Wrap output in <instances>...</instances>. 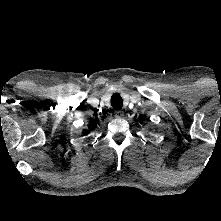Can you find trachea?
I'll list each match as a JSON object with an SVG mask.
<instances>
[{"label":"trachea","instance_id":"trachea-1","mask_svg":"<svg viewBox=\"0 0 221 221\" xmlns=\"http://www.w3.org/2000/svg\"><path fill=\"white\" fill-rule=\"evenodd\" d=\"M111 105L114 109L120 110L123 106V101L118 93H115L111 97Z\"/></svg>","mask_w":221,"mask_h":221}]
</instances>
